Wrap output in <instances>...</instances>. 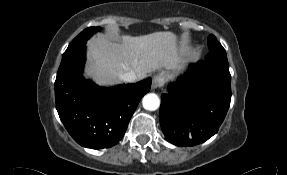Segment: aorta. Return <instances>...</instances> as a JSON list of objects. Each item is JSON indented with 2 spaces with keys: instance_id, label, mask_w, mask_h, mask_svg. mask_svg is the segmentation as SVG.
Segmentation results:
<instances>
[{
  "instance_id": "1",
  "label": "aorta",
  "mask_w": 287,
  "mask_h": 175,
  "mask_svg": "<svg viewBox=\"0 0 287 175\" xmlns=\"http://www.w3.org/2000/svg\"><path fill=\"white\" fill-rule=\"evenodd\" d=\"M142 105L144 109L154 111L160 106V99L156 94L150 93L144 96Z\"/></svg>"
}]
</instances>
